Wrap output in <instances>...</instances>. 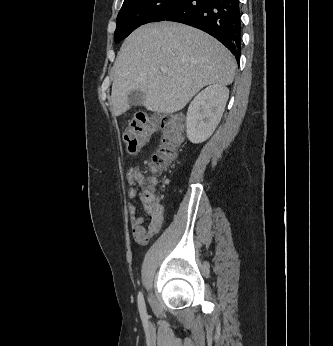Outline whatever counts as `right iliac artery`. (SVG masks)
I'll return each mask as SVG.
<instances>
[{
    "label": "right iliac artery",
    "mask_w": 333,
    "mask_h": 346,
    "mask_svg": "<svg viewBox=\"0 0 333 346\" xmlns=\"http://www.w3.org/2000/svg\"><path fill=\"white\" fill-rule=\"evenodd\" d=\"M138 308H139L141 319L143 321V325L145 328H147L148 327V315L146 312L144 297H143V294L141 292H139V294H138Z\"/></svg>",
    "instance_id": "1"
}]
</instances>
